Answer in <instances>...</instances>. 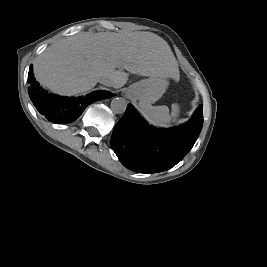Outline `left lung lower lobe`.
<instances>
[{
  "label": "left lung lower lobe",
  "mask_w": 267,
  "mask_h": 267,
  "mask_svg": "<svg viewBox=\"0 0 267 267\" xmlns=\"http://www.w3.org/2000/svg\"><path fill=\"white\" fill-rule=\"evenodd\" d=\"M200 106L186 124L172 129L149 126L128 106L111 136V146L122 164L136 172L155 173L172 168L193 147L203 124Z\"/></svg>",
  "instance_id": "left-lung-lower-lobe-1"
}]
</instances>
